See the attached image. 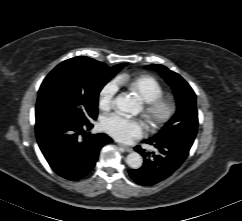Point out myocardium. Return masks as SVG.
<instances>
[{
	"mask_svg": "<svg viewBox=\"0 0 242 221\" xmlns=\"http://www.w3.org/2000/svg\"><path fill=\"white\" fill-rule=\"evenodd\" d=\"M143 111L153 126L161 127L173 119L176 113V104L172 98L161 95L145 101Z\"/></svg>",
	"mask_w": 242,
	"mask_h": 221,
	"instance_id": "1",
	"label": "myocardium"
}]
</instances>
